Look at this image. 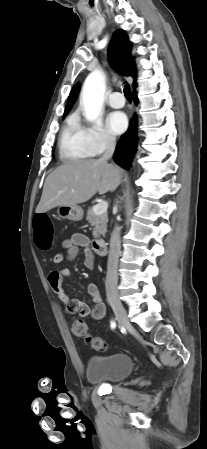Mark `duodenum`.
<instances>
[{
	"mask_svg": "<svg viewBox=\"0 0 207 449\" xmlns=\"http://www.w3.org/2000/svg\"><path fill=\"white\" fill-rule=\"evenodd\" d=\"M92 248L98 255L106 254L107 243L104 239H96L92 242Z\"/></svg>",
	"mask_w": 207,
	"mask_h": 449,
	"instance_id": "410a0bca",
	"label": "duodenum"
}]
</instances>
